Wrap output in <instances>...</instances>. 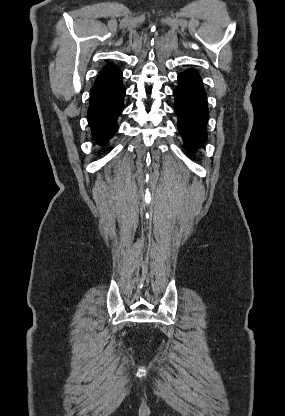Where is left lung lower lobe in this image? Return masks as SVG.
<instances>
[{
    "instance_id": "1",
    "label": "left lung lower lobe",
    "mask_w": 285,
    "mask_h": 416,
    "mask_svg": "<svg viewBox=\"0 0 285 416\" xmlns=\"http://www.w3.org/2000/svg\"><path fill=\"white\" fill-rule=\"evenodd\" d=\"M178 86L174 89V110L178 116V130L185 147L196 149L207 139V97L198 73L190 68L178 75Z\"/></svg>"
}]
</instances>
